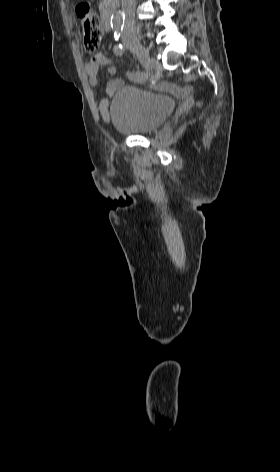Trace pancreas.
I'll return each mask as SVG.
<instances>
[{
	"instance_id": "obj_1",
	"label": "pancreas",
	"mask_w": 280,
	"mask_h": 472,
	"mask_svg": "<svg viewBox=\"0 0 280 472\" xmlns=\"http://www.w3.org/2000/svg\"><path fill=\"white\" fill-rule=\"evenodd\" d=\"M104 2H109L110 0H103Z\"/></svg>"
}]
</instances>
